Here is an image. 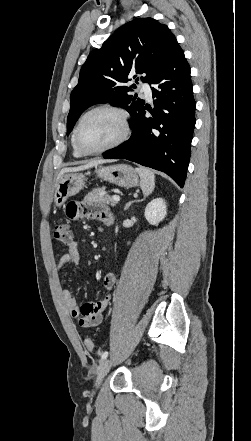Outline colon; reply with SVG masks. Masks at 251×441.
I'll use <instances>...</instances> for the list:
<instances>
[{
  "label": "colon",
  "mask_w": 251,
  "mask_h": 441,
  "mask_svg": "<svg viewBox=\"0 0 251 441\" xmlns=\"http://www.w3.org/2000/svg\"><path fill=\"white\" fill-rule=\"evenodd\" d=\"M53 238L64 245L72 242V233L70 227L66 223H57L53 229ZM85 347L88 351L94 349V342L91 338L85 339Z\"/></svg>",
  "instance_id": "1"
}]
</instances>
